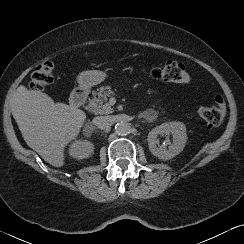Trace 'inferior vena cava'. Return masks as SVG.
I'll list each match as a JSON object with an SVG mask.
<instances>
[{
    "label": "inferior vena cava",
    "instance_id": "602c4592",
    "mask_svg": "<svg viewBox=\"0 0 244 244\" xmlns=\"http://www.w3.org/2000/svg\"><path fill=\"white\" fill-rule=\"evenodd\" d=\"M93 124L99 129H108L113 125V120L110 116H97L93 119Z\"/></svg>",
    "mask_w": 244,
    "mask_h": 244
}]
</instances>
